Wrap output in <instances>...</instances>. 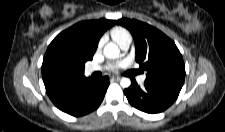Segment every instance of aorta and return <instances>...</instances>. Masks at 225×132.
Masks as SVG:
<instances>
[{
  "label": "aorta",
  "mask_w": 225,
  "mask_h": 132,
  "mask_svg": "<svg viewBox=\"0 0 225 132\" xmlns=\"http://www.w3.org/2000/svg\"><path fill=\"white\" fill-rule=\"evenodd\" d=\"M103 53L106 58H117L120 54L118 46L114 43H108L103 49ZM120 85L122 88H128L131 85L129 78H122L120 80Z\"/></svg>",
  "instance_id": "1"
}]
</instances>
